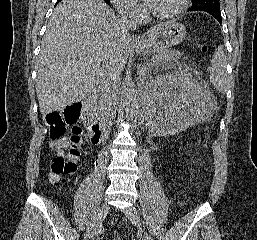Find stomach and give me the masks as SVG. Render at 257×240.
I'll return each mask as SVG.
<instances>
[{"mask_svg":"<svg viewBox=\"0 0 257 240\" xmlns=\"http://www.w3.org/2000/svg\"><path fill=\"white\" fill-rule=\"evenodd\" d=\"M185 34L184 25L175 21H168L154 27L148 39L141 44H135L134 48L141 54L162 52L182 42Z\"/></svg>","mask_w":257,"mask_h":240,"instance_id":"0dacf381","label":"stomach"}]
</instances>
